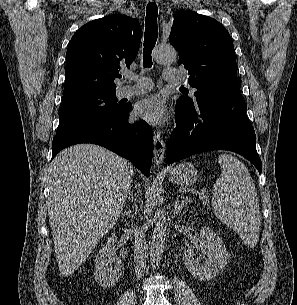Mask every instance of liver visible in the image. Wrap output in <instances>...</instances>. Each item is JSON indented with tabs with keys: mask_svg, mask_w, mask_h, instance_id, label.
I'll return each instance as SVG.
<instances>
[{
	"mask_svg": "<svg viewBox=\"0 0 297 305\" xmlns=\"http://www.w3.org/2000/svg\"><path fill=\"white\" fill-rule=\"evenodd\" d=\"M48 216L56 260L64 277L75 272L118 220L133 167L94 144L62 150L48 169Z\"/></svg>",
	"mask_w": 297,
	"mask_h": 305,
	"instance_id": "liver-1",
	"label": "liver"
}]
</instances>
